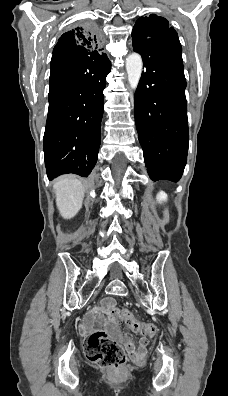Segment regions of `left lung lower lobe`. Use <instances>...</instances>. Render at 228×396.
<instances>
[{
	"label": "left lung lower lobe",
	"instance_id": "obj_1",
	"mask_svg": "<svg viewBox=\"0 0 228 396\" xmlns=\"http://www.w3.org/2000/svg\"><path fill=\"white\" fill-rule=\"evenodd\" d=\"M144 63L134 97L135 122L153 181L177 182L188 151L186 80L182 55L149 41H134Z\"/></svg>",
	"mask_w": 228,
	"mask_h": 396
}]
</instances>
